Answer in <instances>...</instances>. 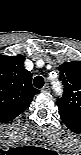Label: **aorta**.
<instances>
[{"label": "aorta", "mask_w": 81, "mask_h": 155, "mask_svg": "<svg viewBox=\"0 0 81 155\" xmlns=\"http://www.w3.org/2000/svg\"><path fill=\"white\" fill-rule=\"evenodd\" d=\"M54 87H55V90L58 92V91H61V87L59 86V84L55 83L54 84Z\"/></svg>", "instance_id": "aorta-1"}]
</instances>
